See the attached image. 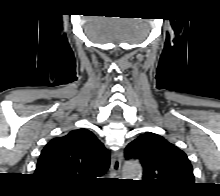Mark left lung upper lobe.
<instances>
[{"label":"left lung upper lobe","instance_id":"5c2ea615","mask_svg":"<svg viewBox=\"0 0 220 196\" xmlns=\"http://www.w3.org/2000/svg\"><path fill=\"white\" fill-rule=\"evenodd\" d=\"M127 159H139L143 181L162 193H179L194 184L191 163L179 148L155 133L146 132L125 149Z\"/></svg>","mask_w":220,"mask_h":196}]
</instances>
